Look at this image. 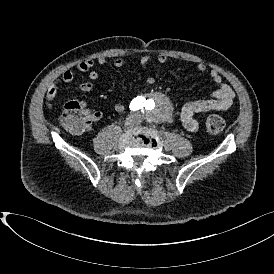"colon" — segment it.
Masks as SVG:
<instances>
[{"label": "colon", "instance_id": "colon-1", "mask_svg": "<svg viewBox=\"0 0 274 274\" xmlns=\"http://www.w3.org/2000/svg\"><path fill=\"white\" fill-rule=\"evenodd\" d=\"M89 113L78 101H69L64 104V111L60 116V123L74 133L85 130ZM225 128V122L220 116H211L206 121V130L209 134H220Z\"/></svg>", "mask_w": 274, "mask_h": 274}]
</instances>
